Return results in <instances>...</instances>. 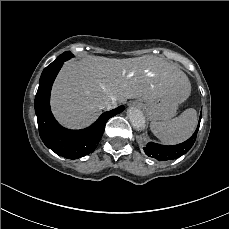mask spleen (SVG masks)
<instances>
[{"instance_id": "spleen-1", "label": "spleen", "mask_w": 229, "mask_h": 229, "mask_svg": "<svg viewBox=\"0 0 229 229\" xmlns=\"http://www.w3.org/2000/svg\"><path fill=\"white\" fill-rule=\"evenodd\" d=\"M196 124V111L189 108L173 119L152 121L151 130L164 143L174 144L187 139L192 134Z\"/></svg>"}]
</instances>
